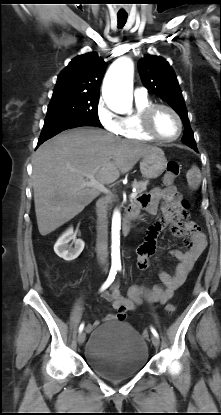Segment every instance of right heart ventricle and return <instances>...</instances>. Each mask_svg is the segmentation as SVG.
<instances>
[{"instance_id": "1", "label": "right heart ventricle", "mask_w": 221, "mask_h": 415, "mask_svg": "<svg viewBox=\"0 0 221 415\" xmlns=\"http://www.w3.org/2000/svg\"><path fill=\"white\" fill-rule=\"evenodd\" d=\"M136 111L133 114L122 118V127L119 135L128 139H136L141 141H151L153 138L148 136L141 127V112L150 104L151 100L146 96L143 98H135Z\"/></svg>"}]
</instances>
